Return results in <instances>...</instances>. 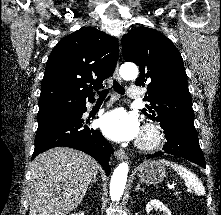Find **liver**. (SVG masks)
Listing matches in <instances>:
<instances>
[{
  "instance_id": "1",
  "label": "liver",
  "mask_w": 221,
  "mask_h": 215,
  "mask_svg": "<svg viewBox=\"0 0 221 215\" xmlns=\"http://www.w3.org/2000/svg\"><path fill=\"white\" fill-rule=\"evenodd\" d=\"M98 168L92 157L68 147L39 154L31 166L30 215H67L75 210Z\"/></svg>"
}]
</instances>
